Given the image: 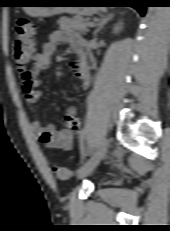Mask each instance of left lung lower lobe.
<instances>
[{"label": "left lung lower lobe", "mask_w": 170, "mask_h": 231, "mask_svg": "<svg viewBox=\"0 0 170 231\" xmlns=\"http://www.w3.org/2000/svg\"><path fill=\"white\" fill-rule=\"evenodd\" d=\"M147 0H101V4L103 6H126V7H133L135 8L141 16L145 15V9L147 7Z\"/></svg>", "instance_id": "obj_1"}]
</instances>
